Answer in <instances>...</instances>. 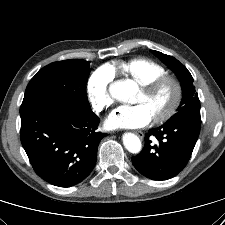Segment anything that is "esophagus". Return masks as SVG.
<instances>
[{"label": "esophagus", "instance_id": "34e87169", "mask_svg": "<svg viewBox=\"0 0 225 225\" xmlns=\"http://www.w3.org/2000/svg\"><path fill=\"white\" fill-rule=\"evenodd\" d=\"M135 133L140 139L144 138V133L142 131H136Z\"/></svg>", "mask_w": 225, "mask_h": 225}]
</instances>
